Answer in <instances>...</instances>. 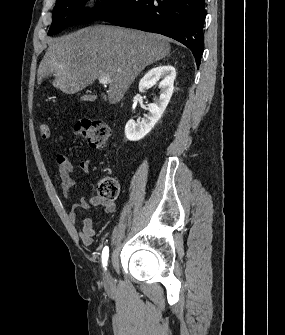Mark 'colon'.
<instances>
[{"label": "colon", "mask_w": 285, "mask_h": 335, "mask_svg": "<svg viewBox=\"0 0 285 335\" xmlns=\"http://www.w3.org/2000/svg\"><path fill=\"white\" fill-rule=\"evenodd\" d=\"M39 131L44 139L50 137V128L46 122H41ZM74 131L81 138L88 141L93 148H104L111 141V132L107 124L97 120L82 119L75 123ZM119 183L111 176L103 177L97 184V192L100 198L113 202L119 196Z\"/></svg>", "instance_id": "colon-1"}]
</instances>
